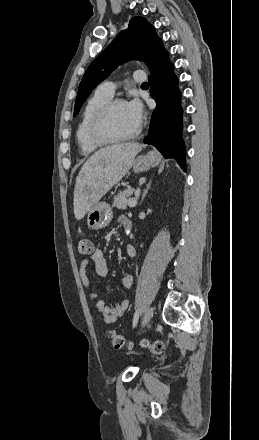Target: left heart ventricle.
I'll use <instances>...</instances> for the list:
<instances>
[{"instance_id":"1","label":"left heart ventricle","mask_w":259,"mask_h":440,"mask_svg":"<svg viewBox=\"0 0 259 440\" xmlns=\"http://www.w3.org/2000/svg\"><path fill=\"white\" fill-rule=\"evenodd\" d=\"M138 125L131 118L126 103L117 104L111 112L108 130L113 136H125L132 133Z\"/></svg>"}]
</instances>
